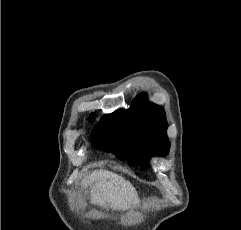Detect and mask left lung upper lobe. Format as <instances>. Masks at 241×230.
<instances>
[{
  "mask_svg": "<svg viewBox=\"0 0 241 230\" xmlns=\"http://www.w3.org/2000/svg\"><path fill=\"white\" fill-rule=\"evenodd\" d=\"M139 94L129 109L105 115L94 127L91 143L94 148L113 152L119 159L148 168L152 155L169 151L168 127L164 109ZM144 97V98H143Z\"/></svg>",
  "mask_w": 241,
  "mask_h": 230,
  "instance_id": "left-lung-upper-lobe-1",
  "label": "left lung upper lobe"
}]
</instances>
